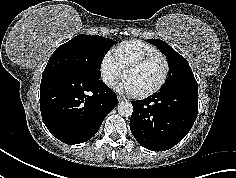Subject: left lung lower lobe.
Returning a JSON list of instances; mask_svg holds the SVG:
<instances>
[{"instance_id":"left-lung-lower-lobe-1","label":"left lung lower lobe","mask_w":236,"mask_h":178,"mask_svg":"<svg viewBox=\"0 0 236 178\" xmlns=\"http://www.w3.org/2000/svg\"><path fill=\"white\" fill-rule=\"evenodd\" d=\"M130 130L151 151H165L190 131L198 112V90H161L143 101L131 102Z\"/></svg>"}]
</instances>
